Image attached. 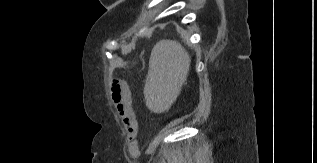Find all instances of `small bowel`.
Instances as JSON below:
<instances>
[{"mask_svg": "<svg viewBox=\"0 0 317 163\" xmlns=\"http://www.w3.org/2000/svg\"><path fill=\"white\" fill-rule=\"evenodd\" d=\"M129 91V89H128ZM116 109L119 117L123 121L126 128L131 134L132 131L136 128V117L132 108L131 95L129 91V100L126 103L116 102Z\"/></svg>", "mask_w": 317, "mask_h": 163, "instance_id": "1", "label": "small bowel"}]
</instances>
